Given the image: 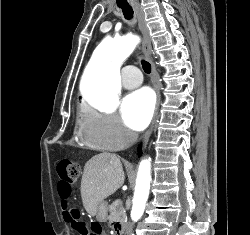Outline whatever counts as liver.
Wrapping results in <instances>:
<instances>
[{"instance_id":"liver-1","label":"liver","mask_w":250,"mask_h":235,"mask_svg":"<svg viewBox=\"0 0 250 235\" xmlns=\"http://www.w3.org/2000/svg\"><path fill=\"white\" fill-rule=\"evenodd\" d=\"M125 174L118 156L101 153L84 167L81 197L85 210L95 216L100 202L114 194L124 183Z\"/></svg>"}]
</instances>
